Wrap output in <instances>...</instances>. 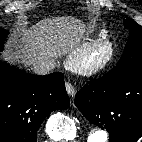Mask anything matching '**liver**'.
<instances>
[{
  "label": "liver",
  "mask_w": 142,
  "mask_h": 142,
  "mask_svg": "<svg viewBox=\"0 0 142 142\" xmlns=\"http://www.w3.org/2000/svg\"><path fill=\"white\" fill-rule=\"evenodd\" d=\"M84 32L85 25L74 17L44 19L23 31L20 41L24 46L20 50L16 48L7 53L25 66H34L69 52L79 43Z\"/></svg>",
  "instance_id": "obj_1"
}]
</instances>
